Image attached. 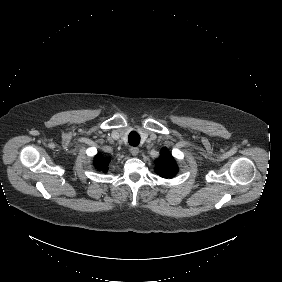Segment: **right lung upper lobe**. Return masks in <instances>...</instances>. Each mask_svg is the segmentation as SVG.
<instances>
[{"label": "right lung upper lobe", "mask_w": 282, "mask_h": 282, "mask_svg": "<svg viewBox=\"0 0 282 282\" xmlns=\"http://www.w3.org/2000/svg\"><path fill=\"white\" fill-rule=\"evenodd\" d=\"M110 160L108 158L103 157L101 154L96 155L94 158V165L97 170L103 171L104 173L108 170V164Z\"/></svg>", "instance_id": "cb5924a9"}]
</instances>
